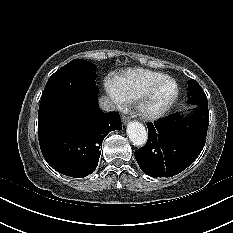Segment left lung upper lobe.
Masks as SVG:
<instances>
[{
	"label": "left lung upper lobe",
	"mask_w": 233,
	"mask_h": 233,
	"mask_svg": "<svg viewBox=\"0 0 233 233\" xmlns=\"http://www.w3.org/2000/svg\"><path fill=\"white\" fill-rule=\"evenodd\" d=\"M189 88V102L192 104L202 105L207 102V97L203 92L201 86L195 80L188 81Z\"/></svg>",
	"instance_id": "5c2ea615"
}]
</instances>
